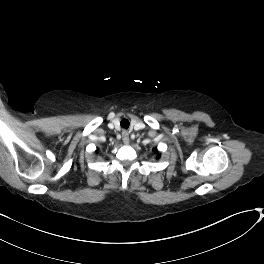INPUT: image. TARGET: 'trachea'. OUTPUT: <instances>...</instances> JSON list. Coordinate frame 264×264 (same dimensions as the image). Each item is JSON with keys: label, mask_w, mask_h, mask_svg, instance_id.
Here are the masks:
<instances>
[{"label": "trachea", "mask_w": 264, "mask_h": 264, "mask_svg": "<svg viewBox=\"0 0 264 264\" xmlns=\"http://www.w3.org/2000/svg\"><path fill=\"white\" fill-rule=\"evenodd\" d=\"M120 125H121V127L127 129L129 127L130 123L127 119L124 118L121 120Z\"/></svg>", "instance_id": "obj_1"}]
</instances>
